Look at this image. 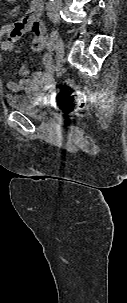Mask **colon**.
<instances>
[{
  "instance_id": "1",
  "label": "colon",
  "mask_w": 127,
  "mask_h": 303,
  "mask_svg": "<svg viewBox=\"0 0 127 303\" xmlns=\"http://www.w3.org/2000/svg\"><path fill=\"white\" fill-rule=\"evenodd\" d=\"M69 84L71 85V82L69 81ZM65 101H66V104L68 106H71L74 104L75 102V95H67L64 97Z\"/></svg>"
}]
</instances>
